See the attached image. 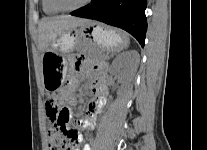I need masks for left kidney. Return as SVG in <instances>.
<instances>
[{"label": "left kidney", "instance_id": "obj_1", "mask_svg": "<svg viewBox=\"0 0 207 150\" xmlns=\"http://www.w3.org/2000/svg\"><path fill=\"white\" fill-rule=\"evenodd\" d=\"M139 63V54L136 51H130L118 55L111 65V73L119 75L123 78L124 84L127 85L131 82ZM125 68V71H120Z\"/></svg>", "mask_w": 207, "mask_h": 150}]
</instances>
